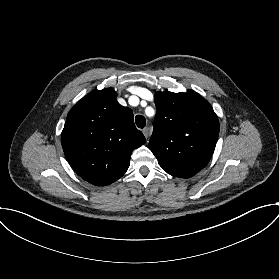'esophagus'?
Instances as JSON below:
<instances>
[{"label": "esophagus", "instance_id": "esophagus-1", "mask_svg": "<svg viewBox=\"0 0 279 279\" xmlns=\"http://www.w3.org/2000/svg\"><path fill=\"white\" fill-rule=\"evenodd\" d=\"M142 132H143L145 138L147 139L149 137V132H150L149 127L144 128Z\"/></svg>", "mask_w": 279, "mask_h": 279}]
</instances>
